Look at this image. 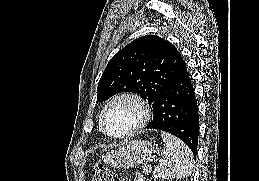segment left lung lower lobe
<instances>
[{"label": "left lung lower lobe", "mask_w": 259, "mask_h": 181, "mask_svg": "<svg viewBox=\"0 0 259 181\" xmlns=\"http://www.w3.org/2000/svg\"><path fill=\"white\" fill-rule=\"evenodd\" d=\"M146 128L163 130L177 136L196 156L199 133L198 106L184 61L179 75L161 96L154 119Z\"/></svg>", "instance_id": "left-lung-lower-lobe-1"}]
</instances>
